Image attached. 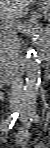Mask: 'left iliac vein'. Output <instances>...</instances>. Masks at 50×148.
Masks as SVG:
<instances>
[{
  "mask_svg": "<svg viewBox=\"0 0 50 148\" xmlns=\"http://www.w3.org/2000/svg\"><path fill=\"white\" fill-rule=\"evenodd\" d=\"M19 113H20L19 118L22 121V123L24 124V126L26 128H30L31 123L29 122L28 117H27V113H26V111L24 110L23 107L19 108Z\"/></svg>",
  "mask_w": 50,
  "mask_h": 148,
  "instance_id": "1",
  "label": "left iliac vein"
}]
</instances>
